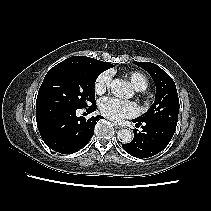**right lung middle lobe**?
<instances>
[{
  "label": "right lung middle lobe",
  "mask_w": 211,
  "mask_h": 211,
  "mask_svg": "<svg viewBox=\"0 0 211 211\" xmlns=\"http://www.w3.org/2000/svg\"><path fill=\"white\" fill-rule=\"evenodd\" d=\"M113 65L64 60L51 68L38 91L36 108L82 109L95 104L97 77Z\"/></svg>",
  "instance_id": "1"
}]
</instances>
